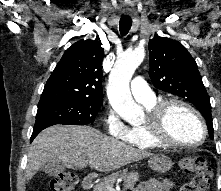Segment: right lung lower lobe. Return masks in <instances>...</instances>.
I'll return each mask as SVG.
<instances>
[{
    "label": "right lung lower lobe",
    "mask_w": 221,
    "mask_h": 191,
    "mask_svg": "<svg viewBox=\"0 0 221 191\" xmlns=\"http://www.w3.org/2000/svg\"><path fill=\"white\" fill-rule=\"evenodd\" d=\"M51 125H54V122L48 119H43V118L37 119L34 125V129H33V133H32L30 141H32L43 129Z\"/></svg>",
    "instance_id": "1"
}]
</instances>
